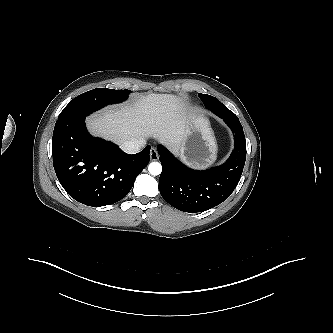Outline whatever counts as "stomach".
<instances>
[{
	"label": "stomach",
	"mask_w": 333,
	"mask_h": 333,
	"mask_svg": "<svg viewBox=\"0 0 333 333\" xmlns=\"http://www.w3.org/2000/svg\"><path fill=\"white\" fill-rule=\"evenodd\" d=\"M178 154L186 163L196 168H205L215 162L217 144L205 117L191 116L188 119Z\"/></svg>",
	"instance_id": "1"
}]
</instances>
